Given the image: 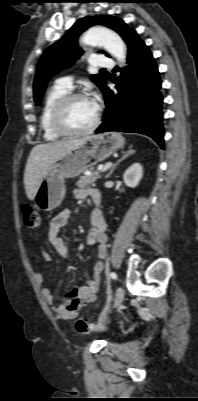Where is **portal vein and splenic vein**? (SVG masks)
I'll return each instance as SVG.
<instances>
[{
    "instance_id": "portal-vein-and-splenic-vein-1",
    "label": "portal vein and splenic vein",
    "mask_w": 198,
    "mask_h": 401,
    "mask_svg": "<svg viewBox=\"0 0 198 401\" xmlns=\"http://www.w3.org/2000/svg\"><path fill=\"white\" fill-rule=\"evenodd\" d=\"M111 166H112V163H111V162L107 163V164L102 168V171L108 170Z\"/></svg>"
}]
</instances>
